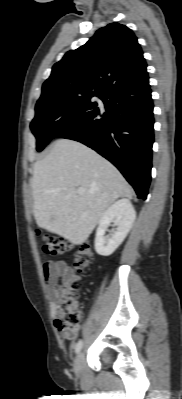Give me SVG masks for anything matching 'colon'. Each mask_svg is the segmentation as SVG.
Here are the masks:
<instances>
[{
  "label": "colon",
  "instance_id": "1",
  "mask_svg": "<svg viewBox=\"0 0 182 399\" xmlns=\"http://www.w3.org/2000/svg\"><path fill=\"white\" fill-rule=\"evenodd\" d=\"M42 248L45 253L50 255H62L70 249V242L64 237L48 234H41ZM93 261V253L88 245H82L73 257L74 268L78 272L87 269ZM81 321V311L79 308L78 292L74 287L56 307V324L61 333L68 338H72Z\"/></svg>",
  "mask_w": 182,
  "mask_h": 399
}]
</instances>
